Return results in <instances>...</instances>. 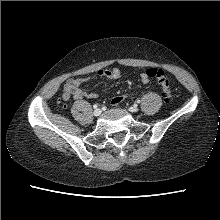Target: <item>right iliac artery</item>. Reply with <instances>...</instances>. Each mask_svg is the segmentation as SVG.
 <instances>
[{"label": "right iliac artery", "instance_id": "obj_1", "mask_svg": "<svg viewBox=\"0 0 220 220\" xmlns=\"http://www.w3.org/2000/svg\"><path fill=\"white\" fill-rule=\"evenodd\" d=\"M97 107H98V105H97V104H95V105L93 106V108H94V109H96Z\"/></svg>", "mask_w": 220, "mask_h": 220}]
</instances>
